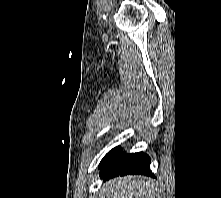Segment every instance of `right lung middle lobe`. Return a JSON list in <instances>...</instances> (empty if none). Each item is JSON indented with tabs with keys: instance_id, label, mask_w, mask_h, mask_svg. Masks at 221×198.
Returning <instances> with one entry per match:
<instances>
[{
	"instance_id": "right-lung-middle-lobe-1",
	"label": "right lung middle lobe",
	"mask_w": 221,
	"mask_h": 198,
	"mask_svg": "<svg viewBox=\"0 0 221 198\" xmlns=\"http://www.w3.org/2000/svg\"><path fill=\"white\" fill-rule=\"evenodd\" d=\"M122 151V149L120 147H116L114 149H112L111 151H109L105 157L102 159V161L99 164V168L102 167L103 165H105L106 163H108L111 159H113L115 156H117L120 152Z\"/></svg>"
}]
</instances>
